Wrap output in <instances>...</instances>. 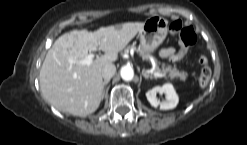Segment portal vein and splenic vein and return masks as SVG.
<instances>
[{
  "label": "portal vein and splenic vein",
  "mask_w": 247,
  "mask_h": 145,
  "mask_svg": "<svg viewBox=\"0 0 247 145\" xmlns=\"http://www.w3.org/2000/svg\"><path fill=\"white\" fill-rule=\"evenodd\" d=\"M95 55L94 54H88L87 56H85L84 59L78 61L77 63L81 64V65H90L93 62ZM150 72L155 76V77H159L162 78L164 77V74L150 70Z\"/></svg>",
  "instance_id": "obj_1"
}]
</instances>
